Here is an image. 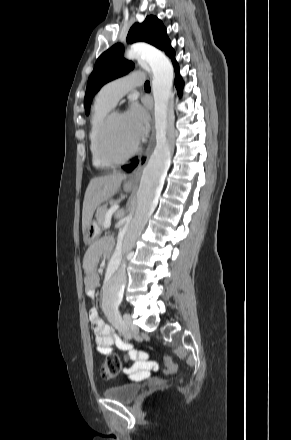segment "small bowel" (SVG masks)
<instances>
[{"label": "small bowel", "mask_w": 291, "mask_h": 440, "mask_svg": "<svg viewBox=\"0 0 291 440\" xmlns=\"http://www.w3.org/2000/svg\"><path fill=\"white\" fill-rule=\"evenodd\" d=\"M114 243L110 239H101L88 248L83 258L85 273V290L90 303L95 304V292L99 284V276L95 268L103 255H108L113 249ZM89 320L96 336L98 351L103 355L113 354L115 349L127 351L128 358L134 360L130 367H124L123 372L131 377L146 378L158 370V365L150 361L148 357L141 356L132 345L121 340L113 328L105 324L99 311L93 306L89 310Z\"/></svg>", "instance_id": "small-bowel-1"}]
</instances>
